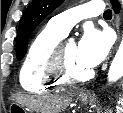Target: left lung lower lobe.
<instances>
[{
    "instance_id": "obj_1",
    "label": "left lung lower lobe",
    "mask_w": 123,
    "mask_h": 113,
    "mask_svg": "<svg viewBox=\"0 0 123 113\" xmlns=\"http://www.w3.org/2000/svg\"><path fill=\"white\" fill-rule=\"evenodd\" d=\"M110 1L113 4L114 11L116 13H118L119 10H120V4H119V2L117 0H110Z\"/></svg>"
}]
</instances>
